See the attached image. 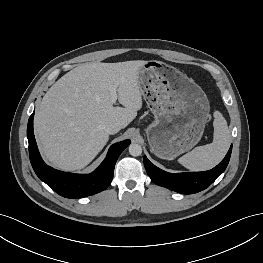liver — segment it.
<instances>
[{
    "instance_id": "1",
    "label": "liver",
    "mask_w": 263,
    "mask_h": 263,
    "mask_svg": "<svg viewBox=\"0 0 263 263\" xmlns=\"http://www.w3.org/2000/svg\"><path fill=\"white\" fill-rule=\"evenodd\" d=\"M144 63H86L51 86L34 118L44 157L67 171L87 166L108 141L105 126L118 122L125 128L142 108L138 73ZM114 85L124 107L113 106L110 89Z\"/></svg>"
}]
</instances>
